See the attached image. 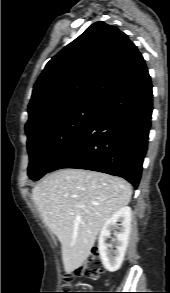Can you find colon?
Returning <instances> with one entry per match:
<instances>
[{"label":"colon","mask_w":170,"mask_h":293,"mask_svg":"<svg viewBox=\"0 0 170 293\" xmlns=\"http://www.w3.org/2000/svg\"><path fill=\"white\" fill-rule=\"evenodd\" d=\"M101 274V258L97 249H94L89 254L86 262L76 270L75 275L87 279H97ZM72 276H66L64 282L68 287L70 285ZM76 291H84V288L77 287ZM70 293H95V292H70Z\"/></svg>","instance_id":"5ec220e1"}]
</instances>
